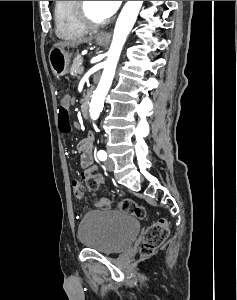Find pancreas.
Masks as SVG:
<instances>
[{
    "mask_svg": "<svg viewBox=\"0 0 237 300\" xmlns=\"http://www.w3.org/2000/svg\"><path fill=\"white\" fill-rule=\"evenodd\" d=\"M80 63H83V59L82 57H80V55H77V57H75L74 61H73V65L70 69L71 73H77V75H82L79 72V68H80Z\"/></svg>",
    "mask_w": 237,
    "mask_h": 300,
    "instance_id": "obj_1",
    "label": "pancreas"
}]
</instances>
